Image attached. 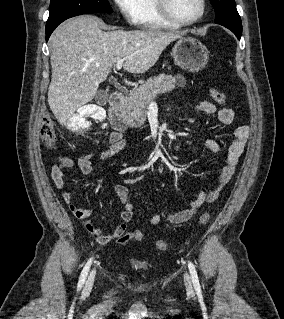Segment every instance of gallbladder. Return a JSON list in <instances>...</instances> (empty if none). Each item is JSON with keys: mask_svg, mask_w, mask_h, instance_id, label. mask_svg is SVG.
Segmentation results:
<instances>
[{"mask_svg": "<svg viewBox=\"0 0 284 319\" xmlns=\"http://www.w3.org/2000/svg\"><path fill=\"white\" fill-rule=\"evenodd\" d=\"M108 93L103 91V90H99L96 92L95 97H94V101L98 104V105H105L108 102Z\"/></svg>", "mask_w": 284, "mask_h": 319, "instance_id": "bac80fb5", "label": "gallbladder"}]
</instances>
